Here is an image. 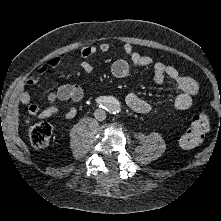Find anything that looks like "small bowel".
<instances>
[{
    "instance_id": "small-bowel-1",
    "label": "small bowel",
    "mask_w": 221,
    "mask_h": 221,
    "mask_svg": "<svg viewBox=\"0 0 221 221\" xmlns=\"http://www.w3.org/2000/svg\"><path fill=\"white\" fill-rule=\"evenodd\" d=\"M109 49L110 46L106 42H102L97 46L85 45L81 47L78 53V67H80L85 74H91L93 66L88 59L93 57L97 52L106 53ZM123 50L128 57V61L117 60L111 67L112 74L117 78L128 76L131 71V65L135 67H147L153 62L151 57L140 54L130 43H123ZM62 64L63 60L59 57L49 59L36 74L28 78L27 83L30 85L39 83L49 70L57 68ZM153 77L158 85H164L167 79L174 85L177 94L172 105L173 110L181 111L191 107L193 98L199 90V85L193 78L182 75L175 67L162 62L154 64ZM82 98V88L78 85L68 83L62 84L48 93L47 100L49 105L44 109H40L38 105L32 103L31 96L28 92L23 91L20 94V101L28 106L30 115L41 119L51 118L59 113V108L56 105L58 101L77 103ZM125 103L129 108L139 114H149L153 111V106L134 92H130L125 96ZM76 115L77 109L72 105L64 113V118L70 120L75 118Z\"/></svg>"
}]
</instances>
